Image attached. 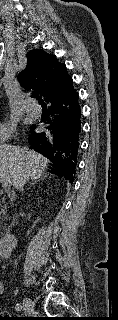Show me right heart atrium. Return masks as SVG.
<instances>
[{
	"mask_svg": "<svg viewBox=\"0 0 118 320\" xmlns=\"http://www.w3.org/2000/svg\"><path fill=\"white\" fill-rule=\"evenodd\" d=\"M16 125L9 121H0V143L5 142L15 134Z\"/></svg>",
	"mask_w": 118,
	"mask_h": 320,
	"instance_id": "obj_1",
	"label": "right heart atrium"
}]
</instances>
